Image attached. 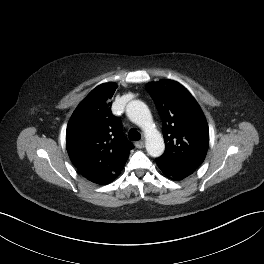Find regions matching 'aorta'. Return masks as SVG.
Segmentation results:
<instances>
[{
	"mask_svg": "<svg viewBox=\"0 0 264 264\" xmlns=\"http://www.w3.org/2000/svg\"><path fill=\"white\" fill-rule=\"evenodd\" d=\"M128 118L141 127L146 135V150L152 157H159L165 149L164 140L153 124L147 105L140 100H133L126 107Z\"/></svg>",
	"mask_w": 264,
	"mask_h": 264,
	"instance_id": "aorta-1",
	"label": "aorta"
}]
</instances>
